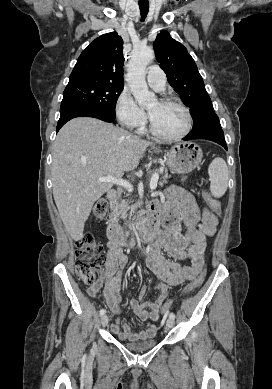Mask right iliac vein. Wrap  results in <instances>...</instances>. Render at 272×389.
Returning <instances> with one entry per match:
<instances>
[{"instance_id":"obj_1","label":"right iliac vein","mask_w":272,"mask_h":389,"mask_svg":"<svg viewBox=\"0 0 272 389\" xmlns=\"http://www.w3.org/2000/svg\"><path fill=\"white\" fill-rule=\"evenodd\" d=\"M109 318L107 315H103L101 318V325L105 327L108 324Z\"/></svg>"}]
</instances>
